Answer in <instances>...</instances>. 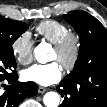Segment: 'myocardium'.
<instances>
[{
  "mask_svg": "<svg viewBox=\"0 0 107 107\" xmlns=\"http://www.w3.org/2000/svg\"><path fill=\"white\" fill-rule=\"evenodd\" d=\"M54 49L59 55L58 61L63 68L67 71H71L75 68L80 58V37L74 32H68L54 44Z\"/></svg>",
  "mask_w": 107,
  "mask_h": 107,
  "instance_id": "1",
  "label": "myocardium"
}]
</instances>
